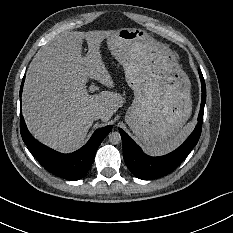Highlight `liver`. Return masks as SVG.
<instances>
[{
  "label": "liver",
  "instance_id": "1",
  "mask_svg": "<svg viewBox=\"0 0 233 233\" xmlns=\"http://www.w3.org/2000/svg\"><path fill=\"white\" fill-rule=\"evenodd\" d=\"M112 30L69 31L55 36L34 56L26 72L21 96L22 115L33 137L59 152L72 153L84 143L93 124L90 115L101 112L107 122L122 107L119 92L105 89L88 95L86 84L112 80L103 65L99 45ZM86 38L88 50L82 52Z\"/></svg>",
  "mask_w": 233,
  "mask_h": 233
}]
</instances>
